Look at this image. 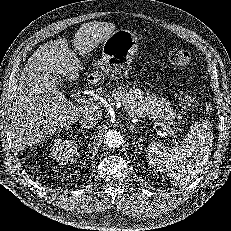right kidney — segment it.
Masks as SVG:
<instances>
[{
  "mask_svg": "<svg viewBox=\"0 0 231 231\" xmlns=\"http://www.w3.org/2000/svg\"><path fill=\"white\" fill-rule=\"evenodd\" d=\"M78 145L74 140L59 138L50 147V155L61 163H68L77 153Z\"/></svg>",
  "mask_w": 231,
  "mask_h": 231,
  "instance_id": "1",
  "label": "right kidney"
}]
</instances>
